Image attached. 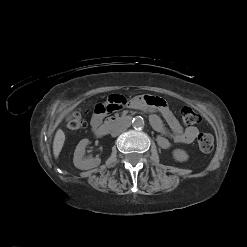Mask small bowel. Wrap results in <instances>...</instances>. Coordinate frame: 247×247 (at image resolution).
Instances as JSON below:
<instances>
[{
	"mask_svg": "<svg viewBox=\"0 0 247 247\" xmlns=\"http://www.w3.org/2000/svg\"><path fill=\"white\" fill-rule=\"evenodd\" d=\"M127 103V99L123 98L121 95H113L108 99V102L105 105L98 104L96 106V112L91 119L92 128L94 129L101 124L105 114H111L118 111L125 107ZM129 105L131 108L149 112L151 125L160 133L157 137V143L163 149L170 147V141L167 138V135L176 143L190 144L199 134L198 129L194 126L183 128L167 103L159 97H135L130 101ZM161 117L167 123L170 131L164 126Z\"/></svg>",
	"mask_w": 247,
	"mask_h": 247,
	"instance_id": "small-bowel-1",
	"label": "small bowel"
}]
</instances>
